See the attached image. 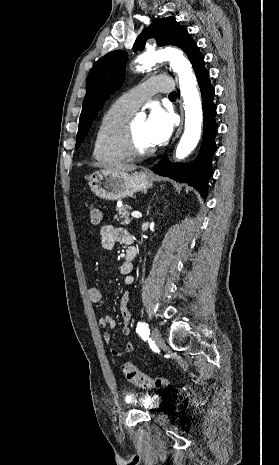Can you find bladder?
<instances>
[{"label":"bladder","instance_id":"obj_1","mask_svg":"<svg viewBox=\"0 0 279 465\" xmlns=\"http://www.w3.org/2000/svg\"><path fill=\"white\" fill-rule=\"evenodd\" d=\"M161 398L157 395H148L139 399V405L146 410L157 409L161 405Z\"/></svg>","mask_w":279,"mask_h":465}]
</instances>
